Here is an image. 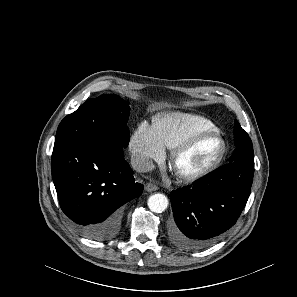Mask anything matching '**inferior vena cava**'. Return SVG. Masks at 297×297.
I'll return each mask as SVG.
<instances>
[{
	"mask_svg": "<svg viewBox=\"0 0 297 297\" xmlns=\"http://www.w3.org/2000/svg\"><path fill=\"white\" fill-rule=\"evenodd\" d=\"M131 165L137 172H148L154 168L153 162L149 158L143 156H132Z\"/></svg>",
	"mask_w": 297,
	"mask_h": 297,
	"instance_id": "obj_1",
	"label": "inferior vena cava"
}]
</instances>
